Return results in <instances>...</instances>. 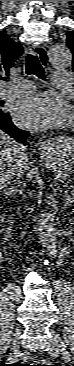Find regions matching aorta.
Returning <instances> with one entry per match:
<instances>
[{
  "label": "aorta",
  "instance_id": "1",
  "mask_svg": "<svg viewBox=\"0 0 74 366\" xmlns=\"http://www.w3.org/2000/svg\"><path fill=\"white\" fill-rule=\"evenodd\" d=\"M48 58L50 64L59 70H64L72 64V53L70 49L62 43L51 44L48 49ZM38 238L40 244L51 254L56 252V229L52 216L43 213L38 222Z\"/></svg>",
  "mask_w": 74,
  "mask_h": 366
}]
</instances>
